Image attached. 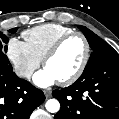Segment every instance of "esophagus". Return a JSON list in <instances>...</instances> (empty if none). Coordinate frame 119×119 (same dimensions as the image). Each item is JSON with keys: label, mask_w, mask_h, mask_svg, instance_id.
I'll return each mask as SVG.
<instances>
[{"label": "esophagus", "mask_w": 119, "mask_h": 119, "mask_svg": "<svg viewBox=\"0 0 119 119\" xmlns=\"http://www.w3.org/2000/svg\"><path fill=\"white\" fill-rule=\"evenodd\" d=\"M44 94H45L46 98L51 97V91L50 90H44Z\"/></svg>", "instance_id": "34e87169"}]
</instances>
